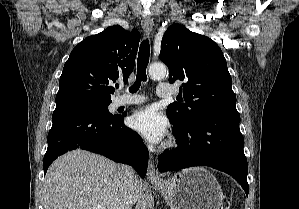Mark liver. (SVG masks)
I'll list each match as a JSON object with an SVG mask.
<instances>
[{"label": "liver", "instance_id": "liver-1", "mask_svg": "<svg viewBox=\"0 0 299 209\" xmlns=\"http://www.w3.org/2000/svg\"><path fill=\"white\" fill-rule=\"evenodd\" d=\"M122 165L76 149L59 157L48 169L43 185L44 209H118L123 194ZM140 191L135 177L132 200Z\"/></svg>", "mask_w": 299, "mask_h": 209}]
</instances>
